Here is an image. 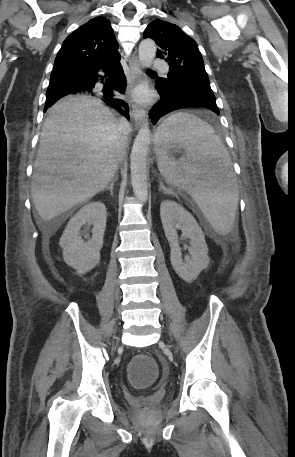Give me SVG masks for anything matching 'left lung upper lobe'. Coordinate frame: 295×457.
Listing matches in <instances>:
<instances>
[{
	"mask_svg": "<svg viewBox=\"0 0 295 457\" xmlns=\"http://www.w3.org/2000/svg\"><path fill=\"white\" fill-rule=\"evenodd\" d=\"M143 37L156 42L160 47L157 57L164 58L170 66L167 78L156 82L160 88L212 92L197 43L177 25L156 19L147 26Z\"/></svg>",
	"mask_w": 295,
	"mask_h": 457,
	"instance_id": "1",
	"label": "left lung upper lobe"
}]
</instances>
